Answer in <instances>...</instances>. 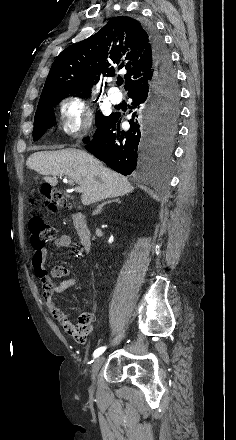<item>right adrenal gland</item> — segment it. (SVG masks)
<instances>
[{
	"label": "right adrenal gland",
	"instance_id": "1",
	"mask_svg": "<svg viewBox=\"0 0 236 440\" xmlns=\"http://www.w3.org/2000/svg\"><path fill=\"white\" fill-rule=\"evenodd\" d=\"M112 202H116V203H118V204L121 203L119 197H117V198H115V199H112V200H108V201L102 203L101 205H99V206L97 207V209L94 211V214H98V213H100V212L102 211V208L104 207V205H106V204H110V203H112Z\"/></svg>",
	"mask_w": 236,
	"mask_h": 440
}]
</instances>
